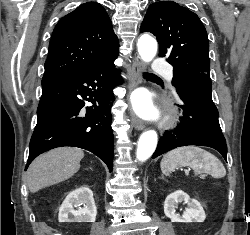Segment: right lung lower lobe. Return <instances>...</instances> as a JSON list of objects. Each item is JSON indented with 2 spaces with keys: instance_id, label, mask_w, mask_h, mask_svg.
Masks as SVG:
<instances>
[{
  "instance_id": "right-lung-lower-lobe-1",
  "label": "right lung lower lobe",
  "mask_w": 250,
  "mask_h": 235,
  "mask_svg": "<svg viewBox=\"0 0 250 235\" xmlns=\"http://www.w3.org/2000/svg\"><path fill=\"white\" fill-rule=\"evenodd\" d=\"M108 57L73 75L42 80L37 125L25 170L39 154L62 146L86 149L113 167L111 107L122 79ZM92 106L84 107L85 102Z\"/></svg>"
}]
</instances>
